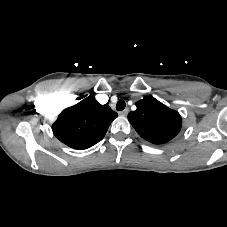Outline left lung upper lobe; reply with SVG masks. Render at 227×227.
<instances>
[{"mask_svg": "<svg viewBox=\"0 0 227 227\" xmlns=\"http://www.w3.org/2000/svg\"><path fill=\"white\" fill-rule=\"evenodd\" d=\"M137 109L128 119L138 134L154 144H163L174 138L181 129V116L151 96L136 103Z\"/></svg>", "mask_w": 227, "mask_h": 227, "instance_id": "5c2ea615", "label": "left lung upper lobe"}]
</instances>
